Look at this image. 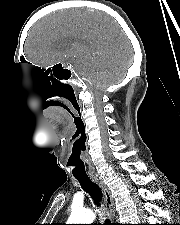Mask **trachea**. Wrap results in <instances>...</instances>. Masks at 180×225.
Listing matches in <instances>:
<instances>
[{
    "mask_svg": "<svg viewBox=\"0 0 180 225\" xmlns=\"http://www.w3.org/2000/svg\"><path fill=\"white\" fill-rule=\"evenodd\" d=\"M75 178L79 181L82 189L86 191L91 198L93 199L94 203L100 207L101 206V200H102V191L99 185L95 182H93L87 175L85 176H75ZM103 225H111V222L109 219L105 220V224Z\"/></svg>",
    "mask_w": 180,
    "mask_h": 225,
    "instance_id": "obj_1",
    "label": "trachea"
}]
</instances>
